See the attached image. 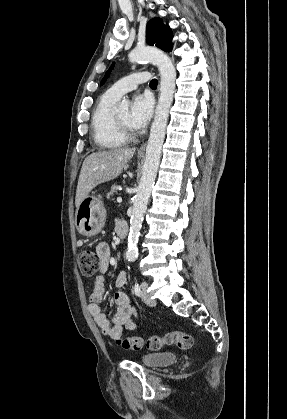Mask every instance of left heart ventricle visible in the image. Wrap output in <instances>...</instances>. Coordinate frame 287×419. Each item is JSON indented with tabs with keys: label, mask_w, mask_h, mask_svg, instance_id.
Masks as SVG:
<instances>
[{
	"label": "left heart ventricle",
	"mask_w": 287,
	"mask_h": 419,
	"mask_svg": "<svg viewBox=\"0 0 287 419\" xmlns=\"http://www.w3.org/2000/svg\"><path fill=\"white\" fill-rule=\"evenodd\" d=\"M116 116L118 117L119 121L130 129L129 126V112L128 110L119 111L116 113Z\"/></svg>",
	"instance_id": "b2bd125f"
}]
</instances>
